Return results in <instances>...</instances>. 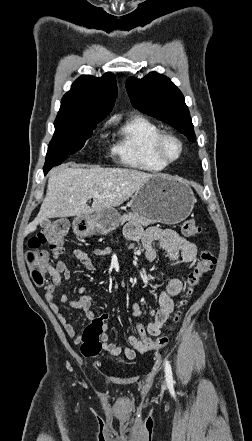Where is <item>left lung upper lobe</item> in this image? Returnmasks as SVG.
<instances>
[{"instance_id":"obj_1","label":"left lung upper lobe","mask_w":252,"mask_h":441,"mask_svg":"<svg viewBox=\"0 0 252 441\" xmlns=\"http://www.w3.org/2000/svg\"><path fill=\"white\" fill-rule=\"evenodd\" d=\"M126 89L136 109L171 124L181 130L190 141L195 140L184 97L168 77L156 72L149 73L142 79L130 77L126 82Z\"/></svg>"}]
</instances>
